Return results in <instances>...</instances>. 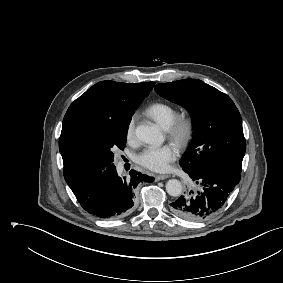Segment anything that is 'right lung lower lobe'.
Masks as SVG:
<instances>
[{
  "label": "right lung lower lobe",
  "instance_id": "1",
  "mask_svg": "<svg viewBox=\"0 0 283 283\" xmlns=\"http://www.w3.org/2000/svg\"><path fill=\"white\" fill-rule=\"evenodd\" d=\"M154 178L134 170L121 178L114 165L99 171L70 187L82 208L100 218H118L128 214L134 205V190Z\"/></svg>",
  "mask_w": 283,
  "mask_h": 283
}]
</instances>
